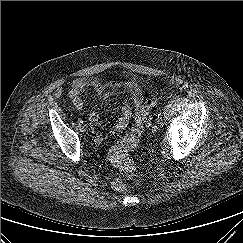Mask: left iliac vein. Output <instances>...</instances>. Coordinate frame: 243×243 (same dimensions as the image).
Masks as SVG:
<instances>
[{"label":"left iliac vein","mask_w":243,"mask_h":243,"mask_svg":"<svg viewBox=\"0 0 243 243\" xmlns=\"http://www.w3.org/2000/svg\"><path fill=\"white\" fill-rule=\"evenodd\" d=\"M161 125H162V120H161V118H157L156 119V128H160L161 127Z\"/></svg>","instance_id":"left-iliac-vein-1"}]
</instances>
